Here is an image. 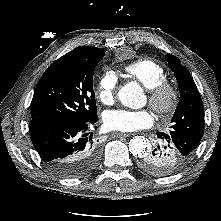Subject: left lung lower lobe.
<instances>
[{
    "instance_id": "obj_1",
    "label": "left lung lower lobe",
    "mask_w": 221,
    "mask_h": 221,
    "mask_svg": "<svg viewBox=\"0 0 221 221\" xmlns=\"http://www.w3.org/2000/svg\"><path fill=\"white\" fill-rule=\"evenodd\" d=\"M159 142L155 149L140 157L138 167L154 176H169L184 168L190 159L182 155L175 143L164 132H157Z\"/></svg>"
}]
</instances>
